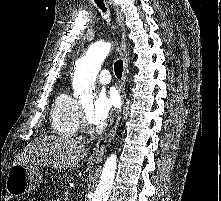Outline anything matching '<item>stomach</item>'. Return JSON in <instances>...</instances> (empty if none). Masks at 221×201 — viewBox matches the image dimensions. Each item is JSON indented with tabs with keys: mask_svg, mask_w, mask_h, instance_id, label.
Here are the masks:
<instances>
[{
	"mask_svg": "<svg viewBox=\"0 0 221 201\" xmlns=\"http://www.w3.org/2000/svg\"><path fill=\"white\" fill-rule=\"evenodd\" d=\"M42 182L40 169L32 164H13L6 179V191L14 196L32 192Z\"/></svg>",
	"mask_w": 221,
	"mask_h": 201,
	"instance_id": "stomach-1",
	"label": "stomach"
}]
</instances>
